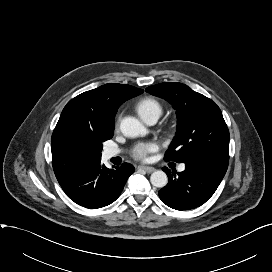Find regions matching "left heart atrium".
Instances as JSON below:
<instances>
[{"mask_svg": "<svg viewBox=\"0 0 272 272\" xmlns=\"http://www.w3.org/2000/svg\"><path fill=\"white\" fill-rule=\"evenodd\" d=\"M157 150V145L153 142L140 143L136 145L133 150V155L135 158L140 160L147 159L148 155Z\"/></svg>", "mask_w": 272, "mask_h": 272, "instance_id": "left-heart-atrium-1", "label": "left heart atrium"}]
</instances>
